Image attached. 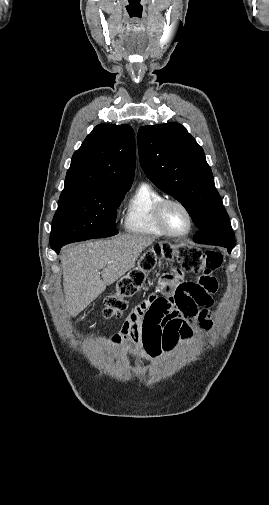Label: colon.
I'll list each match as a JSON object with an SVG mask.
<instances>
[{
  "label": "colon",
  "instance_id": "colon-1",
  "mask_svg": "<svg viewBox=\"0 0 269 505\" xmlns=\"http://www.w3.org/2000/svg\"><path fill=\"white\" fill-rule=\"evenodd\" d=\"M174 259L180 263L181 270L186 274L204 272L212 274L220 268L223 262L222 254L214 250H202L187 244L157 245L141 256L138 265L121 278L116 292L106 297L103 315L108 319L120 318L127 306L126 299L144 288L147 275L155 268L157 262ZM139 307H142V303ZM125 327L126 322L123 329Z\"/></svg>",
  "mask_w": 269,
  "mask_h": 505
}]
</instances>
